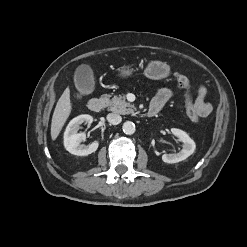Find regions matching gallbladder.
Wrapping results in <instances>:
<instances>
[{
  "label": "gallbladder",
  "mask_w": 247,
  "mask_h": 247,
  "mask_svg": "<svg viewBox=\"0 0 247 247\" xmlns=\"http://www.w3.org/2000/svg\"><path fill=\"white\" fill-rule=\"evenodd\" d=\"M74 83L81 94L87 95L94 91V75L89 65L81 64L77 67L74 74Z\"/></svg>",
  "instance_id": "bac80fb5"
}]
</instances>
